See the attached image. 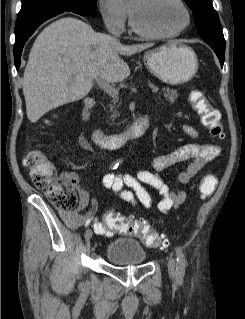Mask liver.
<instances>
[{"instance_id":"liver-1","label":"liver","mask_w":245,"mask_h":319,"mask_svg":"<svg viewBox=\"0 0 245 319\" xmlns=\"http://www.w3.org/2000/svg\"><path fill=\"white\" fill-rule=\"evenodd\" d=\"M153 45H123L74 17L51 23L36 38L24 71L28 119L35 123L48 111L82 99L95 79L124 80L130 69L120 55H133Z\"/></svg>"}]
</instances>
